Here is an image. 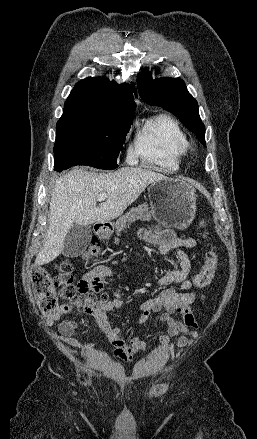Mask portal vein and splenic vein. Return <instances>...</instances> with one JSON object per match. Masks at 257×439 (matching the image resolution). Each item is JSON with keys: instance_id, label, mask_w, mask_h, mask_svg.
Segmentation results:
<instances>
[{"instance_id": "18ae733b", "label": "portal vein and splenic vein", "mask_w": 257, "mask_h": 439, "mask_svg": "<svg viewBox=\"0 0 257 439\" xmlns=\"http://www.w3.org/2000/svg\"><path fill=\"white\" fill-rule=\"evenodd\" d=\"M107 198V193H102L98 195L97 201L102 202Z\"/></svg>"}]
</instances>
